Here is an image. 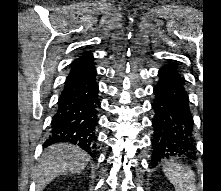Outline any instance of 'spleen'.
Returning <instances> with one entry per match:
<instances>
[{"label":"spleen","instance_id":"1","mask_svg":"<svg viewBox=\"0 0 221 191\" xmlns=\"http://www.w3.org/2000/svg\"><path fill=\"white\" fill-rule=\"evenodd\" d=\"M163 172L176 191H196L195 174L190 168L169 160L164 162Z\"/></svg>","mask_w":221,"mask_h":191}]
</instances>
